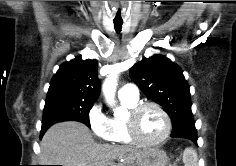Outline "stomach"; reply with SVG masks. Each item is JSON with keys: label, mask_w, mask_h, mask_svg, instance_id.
Returning a JSON list of instances; mask_svg holds the SVG:
<instances>
[{"label": "stomach", "mask_w": 236, "mask_h": 166, "mask_svg": "<svg viewBox=\"0 0 236 166\" xmlns=\"http://www.w3.org/2000/svg\"><path fill=\"white\" fill-rule=\"evenodd\" d=\"M167 163L168 157L166 152L157 148H152L143 151V155L140 160L129 165H125L123 163L118 166H167Z\"/></svg>", "instance_id": "1"}]
</instances>
